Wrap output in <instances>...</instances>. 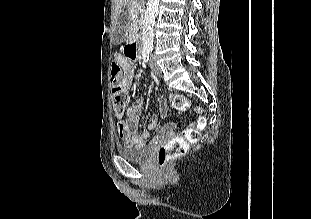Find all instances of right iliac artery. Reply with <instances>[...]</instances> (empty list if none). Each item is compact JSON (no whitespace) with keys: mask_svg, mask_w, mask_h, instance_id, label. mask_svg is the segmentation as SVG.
Here are the masks:
<instances>
[{"mask_svg":"<svg viewBox=\"0 0 311 219\" xmlns=\"http://www.w3.org/2000/svg\"><path fill=\"white\" fill-rule=\"evenodd\" d=\"M142 55H143L144 62H147L149 60L150 50L149 49H144L142 51Z\"/></svg>","mask_w":311,"mask_h":219,"instance_id":"1","label":"right iliac artery"}]
</instances>
